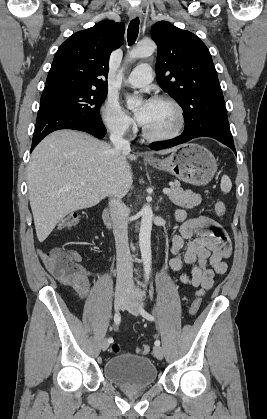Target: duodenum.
Wrapping results in <instances>:
<instances>
[{
	"mask_svg": "<svg viewBox=\"0 0 267 419\" xmlns=\"http://www.w3.org/2000/svg\"><path fill=\"white\" fill-rule=\"evenodd\" d=\"M103 221H104V224H105L108 228H111V226H112V221H111L110 213H109V211H108V210H105V211L103 212Z\"/></svg>",
	"mask_w": 267,
	"mask_h": 419,
	"instance_id": "duodenum-1",
	"label": "duodenum"
}]
</instances>
